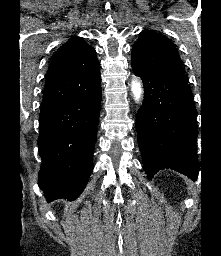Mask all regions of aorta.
Here are the masks:
<instances>
[{
    "label": "aorta",
    "mask_w": 221,
    "mask_h": 256,
    "mask_svg": "<svg viewBox=\"0 0 221 256\" xmlns=\"http://www.w3.org/2000/svg\"><path fill=\"white\" fill-rule=\"evenodd\" d=\"M131 91L133 94V97L135 99V101H140L142 95H143V88H142V84L139 80L134 79L131 83Z\"/></svg>",
    "instance_id": "1"
}]
</instances>
